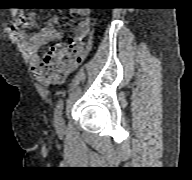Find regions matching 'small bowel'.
<instances>
[{
	"instance_id": "c3829d8e",
	"label": "small bowel",
	"mask_w": 192,
	"mask_h": 180,
	"mask_svg": "<svg viewBox=\"0 0 192 180\" xmlns=\"http://www.w3.org/2000/svg\"><path fill=\"white\" fill-rule=\"evenodd\" d=\"M71 14L81 17L75 29V37L67 44L52 46L35 67L36 78L46 86L62 83L82 63L91 49L93 22L89 10H72ZM20 19L29 25L34 23L31 13L20 12ZM58 22L59 17H52L47 26L30 37L28 44L31 51L38 52L47 43L61 39V33L55 27Z\"/></svg>"
}]
</instances>
